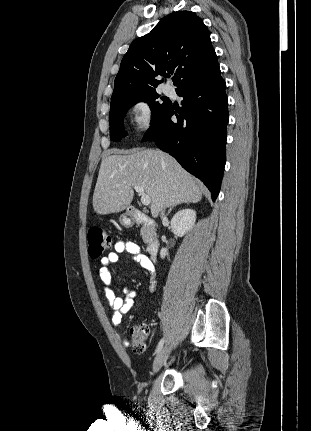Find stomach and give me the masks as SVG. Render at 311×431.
<instances>
[{
    "label": "stomach",
    "instance_id": "1",
    "mask_svg": "<svg viewBox=\"0 0 311 431\" xmlns=\"http://www.w3.org/2000/svg\"><path fill=\"white\" fill-rule=\"evenodd\" d=\"M119 221L123 227H133L134 225L133 217L127 216V214H121V216H119Z\"/></svg>",
    "mask_w": 311,
    "mask_h": 431
}]
</instances>
